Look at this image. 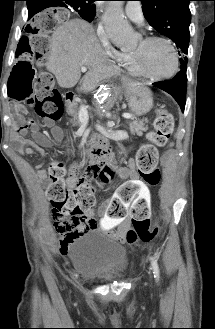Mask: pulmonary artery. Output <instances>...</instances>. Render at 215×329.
Instances as JSON below:
<instances>
[{"label":"pulmonary artery","instance_id":"obj_1","mask_svg":"<svg viewBox=\"0 0 215 329\" xmlns=\"http://www.w3.org/2000/svg\"><path fill=\"white\" fill-rule=\"evenodd\" d=\"M125 14L129 20L135 23H142L144 20L142 7L139 2H129L125 7Z\"/></svg>","mask_w":215,"mask_h":329}]
</instances>
